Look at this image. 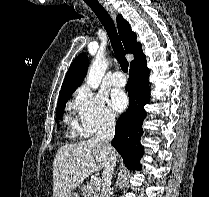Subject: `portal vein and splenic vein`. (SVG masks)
Wrapping results in <instances>:
<instances>
[{
    "mask_svg": "<svg viewBox=\"0 0 209 197\" xmlns=\"http://www.w3.org/2000/svg\"><path fill=\"white\" fill-rule=\"evenodd\" d=\"M101 178L99 177H95L93 180H92V183L95 184V185H100L101 184Z\"/></svg>",
    "mask_w": 209,
    "mask_h": 197,
    "instance_id": "obj_1",
    "label": "portal vein and splenic vein"
}]
</instances>
